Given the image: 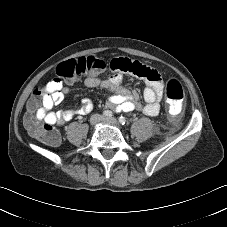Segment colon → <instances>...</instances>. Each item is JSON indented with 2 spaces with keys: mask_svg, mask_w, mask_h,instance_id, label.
<instances>
[{
  "mask_svg": "<svg viewBox=\"0 0 227 227\" xmlns=\"http://www.w3.org/2000/svg\"><path fill=\"white\" fill-rule=\"evenodd\" d=\"M105 68L106 62L95 55L63 62L57 69L58 77L48 81L45 86L36 89L28 101L25 124L29 133L48 146H57L60 143L59 132L52 125L40 123L36 118L35 109L43 102L46 92L57 90L61 86L62 79L75 80L86 72L97 74ZM130 70L142 77L155 78L154 71L139 61H132ZM184 97V88L181 82L174 77L169 78L166 84L165 101L173 113L181 112Z\"/></svg>",
  "mask_w": 227,
  "mask_h": 227,
  "instance_id": "obj_1",
  "label": "colon"
}]
</instances>
